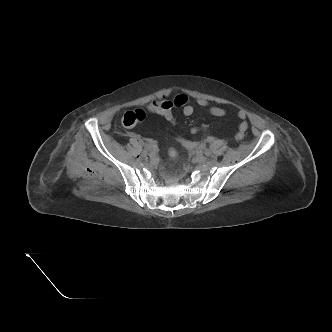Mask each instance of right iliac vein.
Returning <instances> with one entry per match:
<instances>
[{"mask_svg": "<svg viewBox=\"0 0 332 332\" xmlns=\"http://www.w3.org/2000/svg\"><path fill=\"white\" fill-rule=\"evenodd\" d=\"M152 153H153L152 150H144V151L142 152V155H143V156H146V155H148V154H152Z\"/></svg>", "mask_w": 332, "mask_h": 332, "instance_id": "1", "label": "right iliac vein"}]
</instances>
